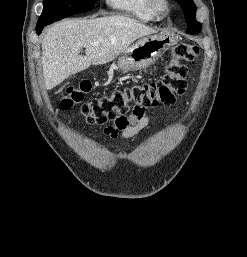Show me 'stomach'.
Here are the masks:
<instances>
[{"instance_id":"stomach-1","label":"stomach","mask_w":247,"mask_h":257,"mask_svg":"<svg viewBox=\"0 0 247 257\" xmlns=\"http://www.w3.org/2000/svg\"><path fill=\"white\" fill-rule=\"evenodd\" d=\"M176 43V37L171 33L141 38L122 52L118 59V67L124 72L145 68Z\"/></svg>"}]
</instances>
